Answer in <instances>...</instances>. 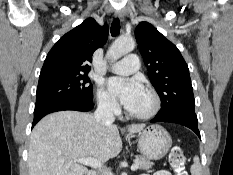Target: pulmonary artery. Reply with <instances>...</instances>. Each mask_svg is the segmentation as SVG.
Wrapping results in <instances>:
<instances>
[{
	"label": "pulmonary artery",
	"mask_w": 233,
	"mask_h": 175,
	"mask_svg": "<svg viewBox=\"0 0 233 175\" xmlns=\"http://www.w3.org/2000/svg\"><path fill=\"white\" fill-rule=\"evenodd\" d=\"M140 61L136 54H129L124 59L109 66V69L120 75H129L139 69Z\"/></svg>",
	"instance_id": "pulmonary-artery-1"
}]
</instances>
